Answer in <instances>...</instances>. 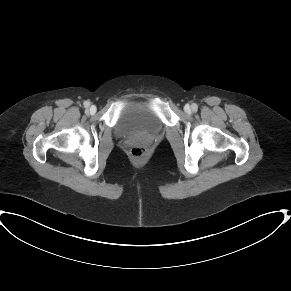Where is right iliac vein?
I'll list each match as a JSON object with an SVG mask.
<instances>
[{"mask_svg":"<svg viewBox=\"0 0 291 291\" xmlns=\"http://www.w3.org/2000/svg\"><path fill=\"white\" fill-rule=\"evenodd\" d=\"M89 112H90L91 114L95 113V112H96V107H95L94 105L91 106L90 109H89Z\"/></svg>","mask_w":291,"mask_h":291,"instance_id":"obj_1","label":"right iliac vein"}]
</instances>
